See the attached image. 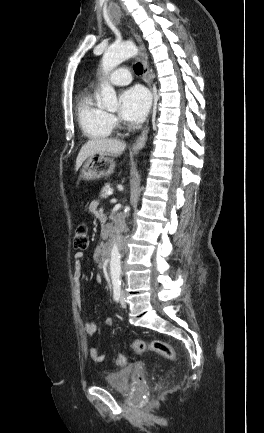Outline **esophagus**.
Instances as JSON below:
<instances>
[{
    "instance_id": "1",
    "label": "esophagus",
    "mask_w": 264,
    "mask_h": 433,
    "mask_svg": "<svg viewBox=\"0 0 264 433\" xmlns=\"http://www.w3.org/2000/svg\"><path fill=\"white\" fill-rule=\"evenodd\" d=\"M134 36H135V39L138 42L140 50H141V62L143 65L144 80L147 83L150 90L152 91V79H151V75H150V71H149V67H148L147 56L145 54V48H144V45L142 43L140 36L137 34H134ZM148 131H149V127L146 126L145 129L143 130V132L141 133V135L138 137V139L133 144L132 153L136 154L144 147V145L147 141Z\"/></svg>"
}]
</instances>
